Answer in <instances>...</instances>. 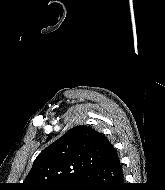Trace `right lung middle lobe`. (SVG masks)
I'll use <instances>...</instances> for the list:
<instances>
[{
  "mask_svg": "<svg viewBox=\"0 0 165 190\" xmlns=\"http://www.w3.org/2000/svg\"><path fill=\"white\" fill-rule=\"evenodd\" d=\"M81 183H82V180H79L73 184L56 186V187L49 188L48 190H80L81 185H82Z\"/></svg>",
  "mask_w": 165,
  "mask_h": 190,
  "instance_id": "obj_1",
  "label": "right lung middle lobe"
}]
</instances>
